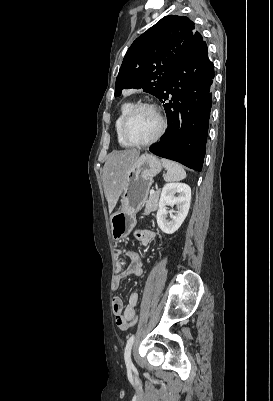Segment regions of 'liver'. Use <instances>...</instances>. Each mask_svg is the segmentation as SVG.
I'll list each match as a JSON object with an SVG mask.
<instances>
[{
  "label": "liver",
  "mask_w": 273,
  "mask_h": 401,
  "mask_svg": "<svg viewBox=\"0 0 273 401\" xmlns=\"http://www.w3.org/2000/svg\"><path fill=\"white\" fill-rule=\"evenodd\" d=\"M140 150H112L107 156L103 166V186L108 201L109 213H112L117 205L118 198L122 194L127 182V170L138 160Z\"/></svg>",
  "instance_id": "obj_1"
}]
</instances>
